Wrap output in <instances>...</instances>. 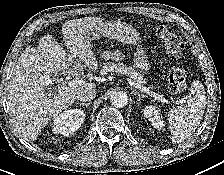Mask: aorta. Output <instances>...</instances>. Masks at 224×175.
Listing matches in <instances>:
<instances>
[{
    "instance_id": "762f6f07",
    "label": "aorta",
    "mask_w": 224,
    "mask_h": 175,
    "mask_svg": "<svg viewBox=\"0 0 224 175\" xmlns=\"http://www.w3.org/2000/svg\"><path fill=\"white\" fill-rule=\"evenodd\" d=\"M111 104L116 108H122L128 104V96L123 91L114 92L110 98Z\"/></svg>"
}]
</instances>
